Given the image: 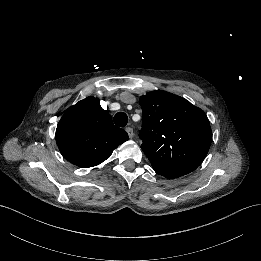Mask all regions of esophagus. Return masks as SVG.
Returning a JSON list of instances; mask_svg holds the SVG:
<instances>
[{
    "label": "esophagus",
    "instance_id": "obj_1",
    "mask_svg": "<svg viewBox=\"0 0 261 261\" xmlns=\"http://www.w3.org/2000/svg\"><path fill=\"white\" fill-rule=\"evenodd\" d=\"M125 130L128 133L129 138H132L133 137V129L130 128V127H127Z\"/></svg>",
    "mask_w": 261,
    "mask_h": 261
}]
</instances>
